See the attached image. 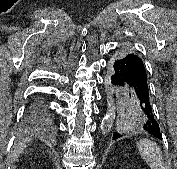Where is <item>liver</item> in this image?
<instances>
[{
    "label": "liver",
    "instance_id": "1",
    "mask_svg": "<svg viewBox=\"0 0 177 169\" xmlns=\"http://www.w3.org/2000/svg\"><path fill=\"white\" fill-rule=\"evenodd\" d=\"M25 147H26V143L25 142L18 143V145L14 149L13 160H15V159H17L19 157V155L23 152Z\"/></svg>",
    "mask_w": 177,
    "mask_h": 169
}]
</instances>
